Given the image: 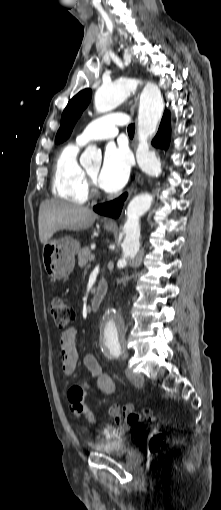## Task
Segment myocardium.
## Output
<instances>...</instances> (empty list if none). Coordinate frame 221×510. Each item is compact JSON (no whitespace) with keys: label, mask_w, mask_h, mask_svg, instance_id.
I'll use <instances>...</instances> for the list:
<instances>
[{"label":"myocardium","mask_w":221,"mask_h":510,"mask_svg":"<svg viewBox=\"0 0 221 510\" xmlns=\"http://www.w3.org/2000/svg\"><path fill=\"white\" fill-rule=\"evenodd\" d=\"M85 178H86V185H87L88 196L99 197L101 195V191L99 190V188L97 186L96 180L93 179L88 174V172H85Z\"/></svg>","instance_id":"obj_1"}]
</instances>
